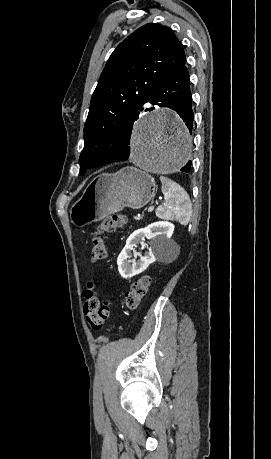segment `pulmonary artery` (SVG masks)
Returning <instances> with one entry per match:
<instances>
[{"label":"pulmonary artery","mask_w":271,"mask_h":459,"mask_svg":"<svg viewBox=\"0 0 271 459\" xmlns=\"http://www.w3.org/2000/svg\"><path fill=\"white\" fill-rule=\"evenodd\" d=\"M145 108H146L147 110H152V109L154 108V103H153L152 101H147V102L145 103Z\"/></svg>","instance_id":"obj_1"}]
</instances>
